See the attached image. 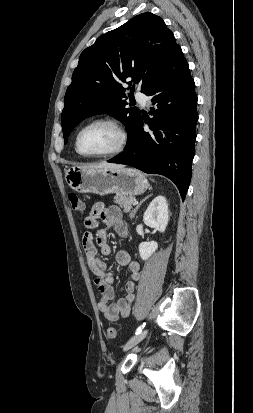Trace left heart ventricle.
<instances>
[{"instance_id":"obj_1","label":"left heart ventricle","mask_w":253,"mask_h":413,"mask_svg":"<svg viewBox=\"0 0 253 413\" xmlns=\"http://www.w3.org/2000/svg\"><path fill=\"white\" fill-rule=\"evenodd\" d=\"M119 142L117 131L107 124H95L86 128L79 141L80 149L86 154H99L114 149Z\"/></svg>"}]
</instances>
